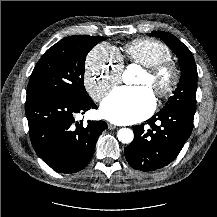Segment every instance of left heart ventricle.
<instances>
[{
    "instance_id": "1",
    "label": "left heart ventricle",
    "mask_w": 217,
    "mask_h": 217,
    "mask_svg": "<svg viewBox=\"0 0 217 217\" xmlns=\"http://www.w3.org/2000/svg\"><path fill=\"white\" fill-rule=\"evenodd\" d=\"M135 84L149 87V76L146 73H143V75L139 78V80Z\"/></svg>"
}]
</instances>
